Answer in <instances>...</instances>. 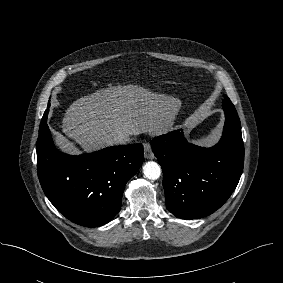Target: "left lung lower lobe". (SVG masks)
<instances>
[{
	"label": "left lung lower lobe",
	"instance_id": "1",
	"mask_svg": "<svg viewBox=\"0 0 283 283\" xmlns=\"http://www.w3.org/2000/svg\"><path fill=\"white\" fill-rule=\"evenodd\" d=\"M223 110V135L212 148L188 143L179 130L151 141L163 172L166 207L178 218L210 215L239 182L244 166L241 124L232 102H223Z\"/></svg>",
	"mask_w": 283,
	"mask_h": 283
}]
</instances>
